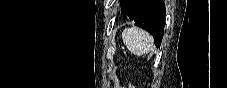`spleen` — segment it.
Wrapping results in <instances>:
<instances>
[{
    "label": "spleen",
    "mask_w": 227,
    "mask_h": 88,
    "mask_svg": "<svg viewBox=\"0 0 227 88\" xmlns=\"http://www.w3.org/2000/svg\"><path fill=\"white\" fill-rule=\"evenodd\" d=\"M122 40L127 49L137 55L141 56L153 48V38L146 31L138 28H126L122 32Z\"/></svg>",
    "instance_id": "1"
}]
</instances>
